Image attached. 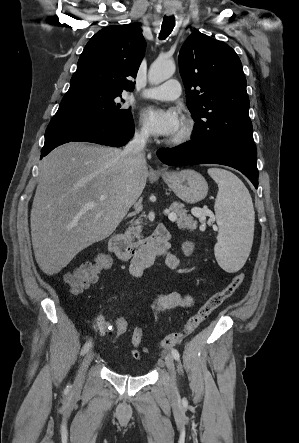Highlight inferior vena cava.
<instances>
[{"label": "inferior vena cava", "mask_w": 299, "mask_h": 443, "mask_svg": "<svg viewBox=\"0 0 299 443\" xmlns=\"http://www.w3.org/2000/svg\"><path fill=\"white\" fill-rule=\"evenodd\" d=\"M147 139L146 132H136L133 139L125 146L122 154L129 158L133 167L146 163L144 149Z\"/></svg>", "instance_id": "obj_1"}]
</instances>
